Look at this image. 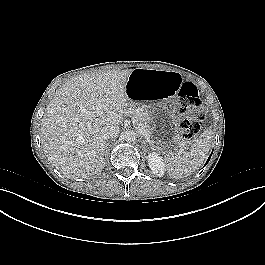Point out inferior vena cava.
Returning <instances> with one entry per match:
<instances>
[{
	"mask_svg": "<svg viewBox=\"0 0 265 265\" xmlns=\"http://www.w3.org/2000/svg\"><path fill=\"white\" fill-rule=\"evenodd\" d=\"M119 134V128L117 126H106L101 130V137L104 140H109L117 137Z\"/></svg>",
	"mask_w": 265,
	"mask_h": 265,
	"instance_id": "1",
	"label": "inferior vena cava"
}]
</instances>
